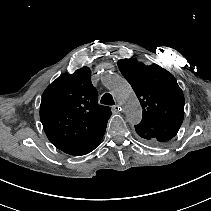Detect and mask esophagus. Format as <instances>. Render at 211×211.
<instances>
[{
  "label": "esophagus",
  "mask_w": 211,
  "mask_h": 211,
  "mask_svg": "<svg viewBox=\"0 0 211 211\" xmlns=\"http://www.w3.org/2000/svg\"><path fill=\"white\" fill-rule=\"evenodd\" d=\"M112 109H113L114 111H116V112L122 111V108H121V106H119V105L113 106Z\"/></svg>",
  "instance_id": "1"
}]
</instances>
